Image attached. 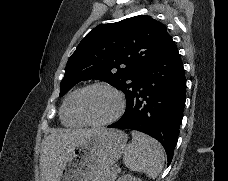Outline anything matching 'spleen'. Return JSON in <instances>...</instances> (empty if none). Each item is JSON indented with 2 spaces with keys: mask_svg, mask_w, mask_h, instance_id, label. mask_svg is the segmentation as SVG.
Returning a JSON list of instances; mask_svg holds the SVG:
<instances>
[{
  "mask_svg": "<svg viewBox=\"0 0 228 181\" xmlns=\"http://www.w3.org/2000/svg\"><path fill=\"white\" fill-rule=\"evenodd\" d=\"M123 161L130 171L145 173L149 179H156L164 167V149L152 137L132 131V145L124 151Z\"/></svg>",
  "mask_w": 228,
  "mask_h": 181,
  "instance_id": "1",
  "label": "spleen"
}]
</instances>
